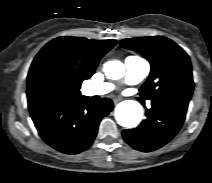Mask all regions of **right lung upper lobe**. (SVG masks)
I'll use <instances>...</instances> for the list:
<instances>
[{"instance_id":"right-lung-upper-lobe-1","label":"right lung upper lobe","mask_w":212,"mask_h":183,"mask_svg":"<svg viewBox=\"0 0 212 183\" xmlns=\"http://www.w3.org/2000/svg\"><path fill=\"white\" fill-rule=\"evenodd\" d=\"M115 40L62 36L48 42L34 58L27 77L29 109L53 98L80 100L82 81L90 78Z\"/></svg>"}]
</instances>
